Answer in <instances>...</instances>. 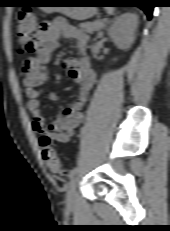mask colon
<instances>
[{
	"mask_svg": "<svg viewBox=\"0 0 170 231\" xmlns=\"http://www.w3.org/2000/svg\"><path fill=\"white\" fill-rule=\"evenodd\" d=\"M36 17L29 8H23L17 15L16 31L19 37V52L32 53L38 46V38L35 34ZM41 155L48 170L54 175L63 173L62 164L56 154L50 136L43 134L39 139Z\"/></svg>",
	"mask_w": 170,
	"mask_h": 231,
	"instance_id": "1",
	"label": "colon"
}]
</instances>
